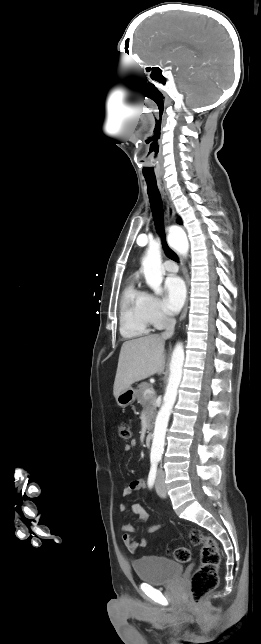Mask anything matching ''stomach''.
I'll use <instances>...</instances> for the list:
<instances>
[{"mask_svg":"<svg viewBox=\"0 0 261 644\" xmlns=\"http://www.w3.org/2000/svg\"><path fill=\"white\" fill-rule=\"evenodd\" d=\"M136 391L137 390H135L131 386L125 389L116 397L117 404L121 407H127L128 405L134 403L136 399Z\"/></svg>","mask_w":261,"mask_h":644,"instance_id":"stomach-1","label":"stomach"}]
</instances>
